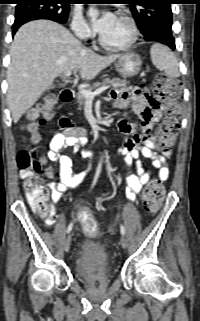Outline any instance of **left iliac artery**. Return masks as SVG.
Returning a JSON list of instances; mask_svg holds the SVG:
<instances>
[{
	"instance_id": "left-iliac-artery-1",
	"label": "left iliac artery",
	"mask_w": 200,
	"mask_h": 321,
	"mask_svg": "<svg viewBox=\"0 0 200 321\" xmlns=\"http://www.w3.org/2000/svg\"><path fill=\"white\" fill-rule=\"evenodd\" d=\"M120 231H121V234L124 236L126 231H125V227L123 225L120 226Z\"/></svg>"
}]
</instances>
